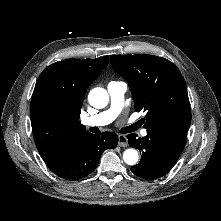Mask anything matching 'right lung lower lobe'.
Listing matches in <instances>:
<instances>
[{"mask_svg":"<svg viewBox=\"0 0 221 221\" xmlns=\"http://www.w3.org/2000/svg\"><path fill=\"white\" fill-rule=\"evenodd\" d=\"M118 144V136L104 132L102 136L87 133L75 139L57 154L43 159L48 168L66 180H79L92 173L102 153Z\"/></svg>","mask_w":221,"mask_h":221,"instance_id":"98d812e1","label":"right lung lower lobe"}]
</instances>
